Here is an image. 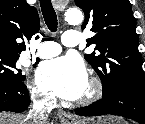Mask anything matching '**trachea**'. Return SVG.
Returning a JSON list of instances; mask_svg holds the SVG:
<instances>
[{
    "label": "trachea",
    "mask_w": 145,
    "mask_h": 124,
    "mask_svg": "<svg viewBox=\"0 0 145 124\" xmlns=\"http://www.w3.org/2000/svg\"><path fill=\"white\" fill-rule=\"evenodd\" d=\"M40 6L48 29L51 32H55L57 30L58 21L51 0H40Z\"/></svg>",
    "instance_id": "obj_1"
}]
</instances>
